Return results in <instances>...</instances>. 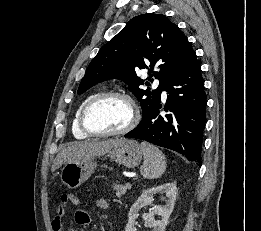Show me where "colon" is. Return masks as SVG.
Wrapping results in <instances>:
<instances>
[{"mask_svg": "<svg viewBox=\"0 0 261 231\" xmlns=\"http://www.w3.org/2000/svg\"><path fill=\"white\" fill-rule=\"evenodd\" d=\"M72 201V196L70 193H65L62 195V204H61V209L63 211L67 210L68 204Z\"/></svg>", "mask_w": 261, "mask_h": 231, "instance_id": "1", "label": "colon"}]
</instances>
